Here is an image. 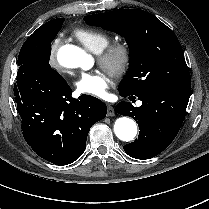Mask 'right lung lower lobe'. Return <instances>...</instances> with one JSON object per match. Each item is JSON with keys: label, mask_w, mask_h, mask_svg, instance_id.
<instances>
[{"label": "right lung lower lobe", "mask_w": 209, "mask_h": 209, "mask_svg": "<svg viewBox=\"0 0 209 209\" xmlns=\"http://www.w3.org/2000/svg\"><path fill=\"white\" fill-rule=\"evenodd\" d=\"M14 95L24 139L56 165H68L83 154L91 126L107 113L106 105L93 96L72 98L58 73L24 69L17 73Z\"/></svg>", "instance_id": "right-lung-lower-lobe-1"}]
</instances>
